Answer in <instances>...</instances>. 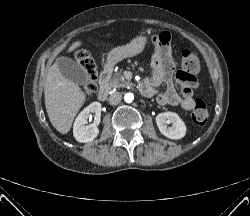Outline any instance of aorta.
I'll use <instances>...</instances> for the list:
<instances>
[{"label": "aorta", "mask_w": 250, "mask_h": 216, "mask_svg": "<svg viewBox=\"0 0 250 216\" xmlns=\"http://www.w3.org/2000/svg\"><path fill=\"white\" fill-rule=\"evenodd\" d=\"M124 100L127 103H131L134 100V95L132 93H126L124 96Z\"/></svg>", "instance_id": "aorta-1"}]
</instances>
